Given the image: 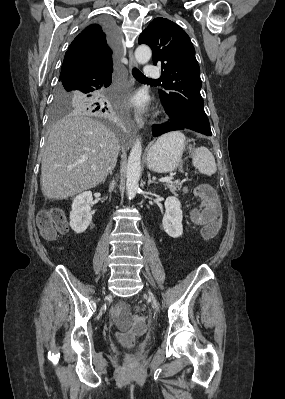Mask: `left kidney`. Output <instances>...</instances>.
Wrapping results in <instances>:
<instances>
[{
	"label": "left kidney",
	"instance_id": "1",
	"mask_svg": "<svg viewBox=\"0 0 285 399\" xmlns=\"http://www.w3.org/2000/svg\"><path fill=\"white\" fill-rule=\"evenodd\" d=\"M181 203L176 197H168L165 201V214L162 225L165 232L172 238L183 234Z\"/></svg>",
	"mask_w": 285,
	"mask_h": 399
}]
</instances>
